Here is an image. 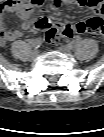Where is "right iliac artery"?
I'll return each mask as SVG.
<instances>
[{"instance_id": "1", "label": "right iliac artery", "mask_w": 104, "mask_h": 137, "mask_svg": "<svg viewBox=\"0 0 104 137\" xmlns=\"http://www.w3.org/2000/svg\"><path fill=\"white\" fill-rule=\"evenodd\" d=\"M42 42H43L42 38H37V39H34L31 44L33 47L38 48L40 47Z\"/></svg>"}]
</instances>
